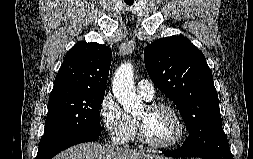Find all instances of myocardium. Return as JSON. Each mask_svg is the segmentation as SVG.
Wrapping results in <instances>:
<instances>
[{
	"label": "myocardium",
	"mask_w": 253,
	"mask_h": 159,
	"mask_svg": "<svg viewBox=\"0 0 253 159\" xmlns=\"http://www.w3.org/2000/svg\"><path fill=\"white\" fill-rule=\"evenodd\" d=\"M145 106L147 110L149 111L156 110V109H166L170 111L175 116L178 122V133H177V136L174 138V140H172L169 143L154 142L148 137L145 127L143 125V122L136 117L135 128H136V134H137L138 140L145 146L152 147L154 149H159V150H167L179 145L183 141L186 135V124L180 112L178 111V109L169 103H165L161 101L148 102Z\"/></svg>",
	"instance_id": "myocardium-1"
}]
</instances>
